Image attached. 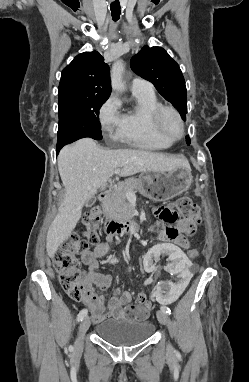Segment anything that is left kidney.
<instances>
[{"label":"left kidney","instance_id":"obj_1","mask_svg":"<svg viewBox=\"0 0 249 382\" xmlns=\"http://www.w3.org/2000/svg\"><path fill=\"white\" fill-rule=\"evenodd\" d=\"M159 244L144 255L139 266L146 273H167V277H172L171 280L159 281L154 297L156 302H162L163 307H174L180 293H185L188 284L192 283L191 277L195 276V271L190 270L192 262L185 250H180V245H173L172 240H167L166 243L162 240Z\"/></svg>","mask_w":249,"mask_h":382}]
</instances>
